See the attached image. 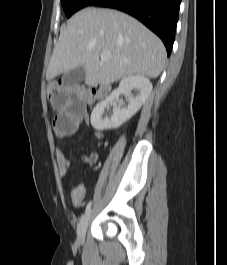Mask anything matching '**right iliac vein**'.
<instances>
[{"instance_id": "63e3f726", "label": "right iliac vein", "mask_w": 227, "mask_h": 265, "mask_svg": "<svg viewBox=\"0 0 227 265\" xmlns=\"http://www.w3.org/2000/svg\"><path fill=\"white\" fill-rule=\"evenodd\" d=\"M91 210H88L85 215L81 218L77 228V238L80 243L84 242L86 230L91 218Z\"/></svg>"}]
</instances>
